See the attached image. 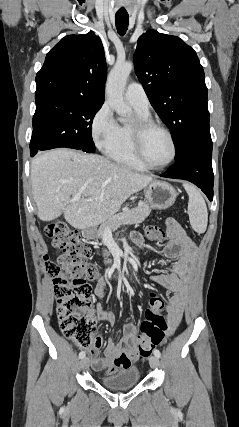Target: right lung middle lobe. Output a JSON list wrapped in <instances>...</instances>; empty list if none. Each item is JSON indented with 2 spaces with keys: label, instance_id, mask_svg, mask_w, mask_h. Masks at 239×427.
Masks as SVG:
<instances>
[{
  "label": "right lung middle lobe",
  "instance_id": "obj_1",
  "mask_svg": "<svg viewBox=\"0 0 239 427\" xmlns=\"http://www.w3.org/2000/svg\"><path fill=\"white\" fill-rule=\"evenodd\" d=\"M102 104L69 99L36 100L30 153L67 147L94 153L92 121Z\"/></svg>",
  "mask_w": 239,
  "mask_h": 427
}]
</instances>
